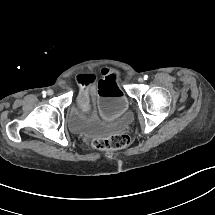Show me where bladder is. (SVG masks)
Here are the masks:
<instances>
[{
	"label": "bladder",
	"mask_w": 215,
	"mask_h": 215,
	"mask_svg": "<svg viewBox=\"0 0 215 215\" xmlns=\"http://www.w3.org/2000/svg\"><path fill=\"white\" fill-rule=\"evenodd\" d=\"M124 124L123 120H118L111 123H103L98 121H89L70 117L68 126L69 129L78 135H96L106 136L119 130Z\"/></svg>",
	"instance_id": "bladder-1"
}]
</instances>
